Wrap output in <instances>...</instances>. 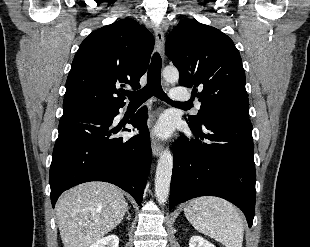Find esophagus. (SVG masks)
Segmentation results:
<instances>
[{"instance_id":"esophagus-1","label":"esophagus","mask_w":310,"mask_h":247,"mask_svg":"<svg viewBox=\"0 0 310 247\" xmlns=\"http://www.w3.org/2000/svg\"><path fill=\"white\" fill-rule=\"evenodd\" d=\"M155 32V39H156V44H157V49L160 53L161 56L164 54V32L161 27L155 26L154 28ZM151 148H152V153L155 157H158L162 151V144L158 139L155 137L151 138Z\"/></svg>"}]
</instances>
